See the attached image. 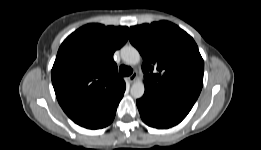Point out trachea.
I'll return each instance as SVG.
<instances>
[{"instance_id":"3493384b","label":"trachea","mask_w":261,"mask_h":150,"mask_svg":"<svg viewBox=\"0 0 261 150\" xmlns=\"http://www.w3.org/2000/svg\"><path fill=\"white\" fill-rule=\"evenodd\" d=\"M119 73L122 75V76H129L133 73V69L129 66H125V65H121L119 67Z\"/></svg>"}]
</instances>
